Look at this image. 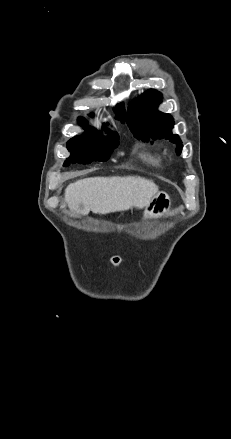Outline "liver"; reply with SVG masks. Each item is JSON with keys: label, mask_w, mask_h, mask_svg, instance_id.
<instances>
[{"label": "liver", "mask_w": 231, "mask_h": 439, "mask_svg": "<svg viewBox=\"0 0 231 439\" xmlns=\"http://www.w3.org/2000/svg\"><path fill=\"white\" fill-rule=\"evenodd\" d=\"M158 193V186L140 176L92 177L71 183L65 202L77 216L108 214L146 207Z\"/></svg>", "instance_id": "1"}]
</instances>
